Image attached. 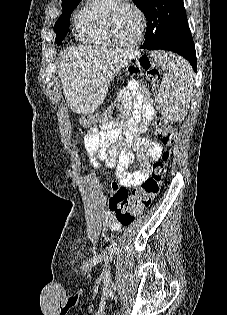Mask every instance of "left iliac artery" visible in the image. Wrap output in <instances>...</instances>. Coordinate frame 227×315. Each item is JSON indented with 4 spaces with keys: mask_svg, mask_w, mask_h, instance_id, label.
<instances>
[{
    "mask_svg": "<svg viewBox=\"0 0 227 315\" xmlns=\"http://www.w3.org/2000/svg\"><path fill=\"white\" fill-rule=\"evenodd\" d=\"M117 249V242L114 241L112 242V245L110 246V256H109V259H112L113 258V254L115 253Z\"/></svg>",
    "mask_w": 227,
    "mask_h": 315,
    "instance_id": "obj_1",
    "label": "left iliac artery"
}]
</instances>
